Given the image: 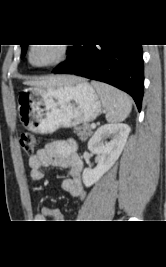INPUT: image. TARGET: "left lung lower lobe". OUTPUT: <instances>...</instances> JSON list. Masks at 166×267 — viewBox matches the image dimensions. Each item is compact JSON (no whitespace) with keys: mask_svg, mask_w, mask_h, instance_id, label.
I'll return each mask as SVG.
<instances>
[{"mask_svg":"<svg viewBox=\"0 0 166 267\" xmlns=\"http://www.w3.org/2000/svg\"><path fill=\"white\" fill-rule=\"evenodd\" d=\"M66 62L52 73L75 74L113 85L130 94L141 110L144 67L141 45H73Z\"/></svg>","mask_w":166,"mask_h":267,"instance_id":"obj_1","label":"left lung lower lobe"}]
</instances>
